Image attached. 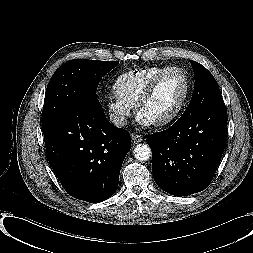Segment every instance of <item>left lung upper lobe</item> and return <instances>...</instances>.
<instances>
[{
	"instance_id": "obj_1",
	"label": "left lung upper lobe",
	"mask_w": 253,
	"mask_h": 253,
	"mask_svg": "<svg viewBox=\"0 0 253 253\" xmlns=\"http://www.w3.org/2000/svg\"><path fill=\"white\" fill-rule=\"evenodd\" d=\"M191 65L195 74L194 91L188 108L182 115L192 110L209 107L217 101L223 100L213 75L198 62L191 61Z\"/></svg>"
}]
</instances>
